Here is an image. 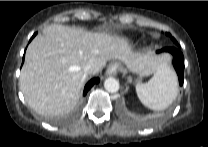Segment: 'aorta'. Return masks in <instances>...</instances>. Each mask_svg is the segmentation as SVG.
I'll list each match as a JSON object with an SVG mask.
<instances>
[{"label":"aorta","mask_w":208,"mask_h":147,"mask_svg":"<svg viewBox=\"0 0 208 147\" xmlns=\"http://www.w3.org/2000/svg\"><path fill=\"white\" fill-rule=\"evenodd\" d=\"M104 88L110 93H115L119 90V81L109 77L104 81Z\"/></svg>","instance_id":"1"}]
</instances>
